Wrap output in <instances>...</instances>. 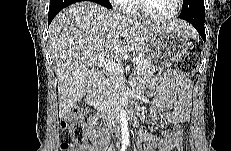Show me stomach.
Listing matches in <instances>:
<instances>
[{
	"label": "stomach",
	"mask_w": 231,
	"mask_h": 151,
	"mask_svg": "<svg viewBox=\"0 0 231 151\" xmlns=\"http://www.w3.org/2000/svg\"><path fill=\"white\" fill-rule=\"evenodd\" d=\"M189 46L188 35L168 25L150 40L143 54L155 70H160L182 58Z\"/></svg>",
	"instance_id": "0dacf381"
}]
</instances>
